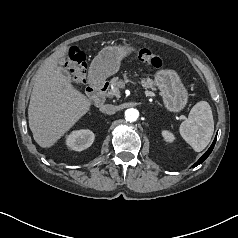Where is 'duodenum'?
<instances>
[{"mask_svg":"<svg viewBox=\"0 0 238 238\" xmlns=\"http://www.w3.org/2000/svg\"><path fill=\"white\" fill-rule=\"evenodd\" d=\"M108 88V83L103 78L99 77L95 73H92L90 82L87 87V93L92 102L99 106L103 102V96Z\"/></svg>","mask_w":238,"mask_h":238,"instance_id":"obj_1","label":"duodenum"}]
</instances>
